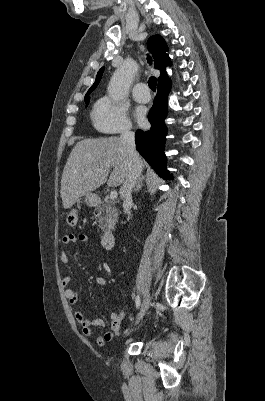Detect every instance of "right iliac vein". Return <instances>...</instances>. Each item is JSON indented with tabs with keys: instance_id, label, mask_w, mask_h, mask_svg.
<instances>
[{
	"instance_id": "obj_1",
	"label": "right iliac vein",
	"mask_w": 265,
	"mask_h": 401,
	"mask_svg": "<svg viewBox=\"0 0 265 401\" xmlns=\"http://www.w3.org/2000/svg\"><path fill=\"white\" fill-rule=\"evenodd\" d=\"M150 303H151V297H150L149 292H147L144 295L143 303H142V306H141V309H140V312H139V315H138V319H137V322H136L137 324L142 320V318L144 317L145 313L149 309Z\"/></svg>"
}]
</instances>
